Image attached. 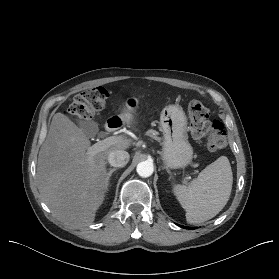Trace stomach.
<instances>
[{
	"mask_svg": "<svg viewBox=\"0 0 279 279\" xmlns=\"http://www.w3.org/2000/svg\"><path fill=\"white\" fill-rule=\"evenodd\" d=\"M126 106L138 107V99L130 97ZM160 130L163 133L162 159L167 168L187 166L193 157V149L188 142L187 117L178 105L166 106L160 114Z\"/></svg>",
	"mask_w": 279,
	"mask_h": 279,
	"instance_id": "stomach-1",
	"label": "stomach"
}]
</instances>
